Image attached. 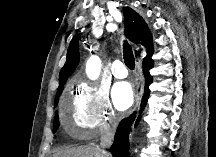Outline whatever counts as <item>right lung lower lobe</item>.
<instances>
[{
    "mask_svg": "<svg viewBox=\"0 0 216 157\" xmlns=\"http://www.w3.org/2000/svg\"><path fill=\"white\" fill-rule=\"evenodd\" d=\"M154 66V62L151 58L143 62V72L145 77V89H144V95L141 102V108L139 111V116L136 120L135 127L137 126L140 115L143 112L147 99L149 97V85L152 83L153 79L152 76L149 73V70ZM135 119V115L132 114L129 118H125L121 121L119 124L116 134L114 143L111 147V152L113 157H129V151H128V138L130 135V127Z\"/></svg>",
    "mask_w": 216,
    "mask_h": 157,
    "instance_id": "98d812e1",
    "label": "right lung lower lobe"
}]
</instances>
